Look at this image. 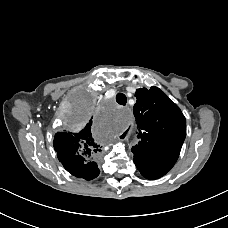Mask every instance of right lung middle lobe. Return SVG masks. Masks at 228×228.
Here are the masks:
<instances>
[{
	"instance_id": "1",
	"label": "right lung middle lobe",
	"mask_w": 228,
	"mask_h": 228,
	"mask_svg": "<svg viewBox=\"0 0 228 228\" xmlns=\"http://www.w3.org/2000/svg\"><path fill=\"white\" fill-rule=\"evenodd\" d=\"M77 99V105L71 117L76 125H81L90 116L94 106L92 98L87 94L83 93Z\"/></svg>"
}]
</instances>
